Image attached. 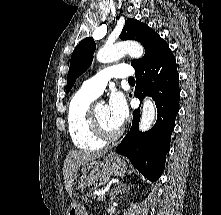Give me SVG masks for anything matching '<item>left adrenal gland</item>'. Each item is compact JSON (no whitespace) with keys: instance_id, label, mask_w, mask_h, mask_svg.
Listing matches in <instances>:
<instances>
[{"instance_id":"1","label":"left adrenal gland","mask_w":221,"mask_h":215,"mask_svg":"<svg viewBox=\"0 0 221 215\" xmlns=\"http://www.w3.org/2000/svg\"><path fill=\"white\" fill-rule=\"evenodd\" d=\"M125 189H126V185L123 182L121 184H118L111 191V199H114L118 193H120L122 190H125Z\"/></svg>"}]
</instances>
